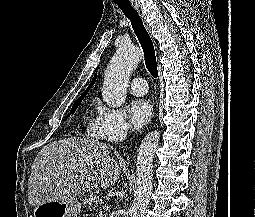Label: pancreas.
I'll use <instances>...</instances> for the list:
<instances>
[{
	"label": "pancreas",
	"instance_id": "1",
	"mask_svg": "<svg viewBox=\"0 0 255 217\" xmlns=\"http://www.w3.org/2000/svg\"><path fill=\"white\" fill-rule=\"evenodd\" d=\"M101 203L102 200L99 198L97 193L90 194V196L84 200V205L90 211H94Z\"/></svg>",
	"mask_w": 255,
	"mask_h": 217
}]
</instances>
